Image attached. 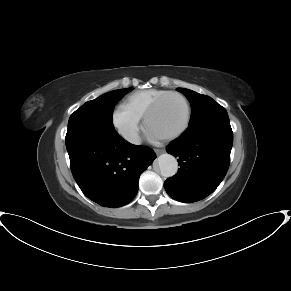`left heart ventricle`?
<instances>
[{"label": "left heart ventricle", "instance_id": "obj_1", "mask_svg": "<svg viewBox=\"0 0 291 291\" xmlns=\"http://www.w3.org/2000/svg\"><path fill=\"white\" fill-rule=\"evenodd\" d=\"M186 106L177 97H168L149 121L148 130L156 136L164 137L177 131L185 122Z\"/></svg>", "mask_w": 291, "mask_h": 291}]
</instances>
